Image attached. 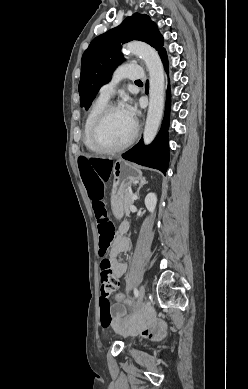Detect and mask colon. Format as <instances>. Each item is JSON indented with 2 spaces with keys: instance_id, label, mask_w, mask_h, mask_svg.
Returning a JSON list of instances; mask_svg holds the SVG:
<instances>
[{
  "instance_id": "colon-1",
  "label": "colon",
  "mask_w": 248,
  "mask_h": 389,
  "mask_svg": "<svg viewBox=\"0 0 248 389\" xmlns=\"http://www.w3.org/2000/svg\"><path fill=\"white\" fill-rule=\"evenodd\" d=\"M77 162L81 169L82 180L88 192L93 211L97 217L99 255L105 256L115 236L114 224L107 216L103 196L104 182L109 181L110 172L112 171V159L111 157H78ZM100 281V325L106 329L113 322L109 297L119 286L111 262L107 258H104L100 264ZM114 295V304H119L120 301L128 299L124 291H115Z\"/></svg>"
}]
</instances>
